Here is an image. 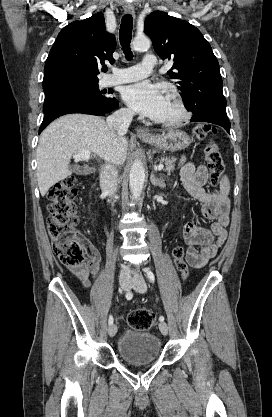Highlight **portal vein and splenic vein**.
<instances>
[{
	"label": "portal vein and splenic vein",
	"mask_w": 272,
	"mask_h": 417,
	"mask_svg": "<svg viewBox=\"0 0 272 417\" xmlns=\"http://www.w3.org/2000/svg\"><path fill=\"white\" fill-rule=\"evenodd\" d=\"M90 155H91V152H89V151H82V152H80L78 154L73 155V158L75 159V161H81V160L87 161V160H89ZM163 168H164V165L163 164H160V165H158L156 167V169L158 171L162 170Z\"/></svg>",
	"instance_id": "obj_1"
}]
</instances>
